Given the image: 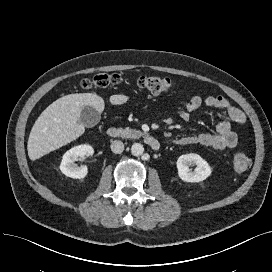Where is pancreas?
Here are the masks:
<instances>
[{"label": "pancreas", "mask_w": 272, "mask_h": 272, "mask_svg": "<svg viewBox=\"0 0 272 272\" xmlns=\"http://www.w3.org/2000/svg\"><path fill=\"white\" fill-rule=\"evenodd\" d=\"M121 137L126 139H138L143 133L140 130L131 129L126 127L125 129H120Z\"/></svg>", "instance_id": "1"}]
</instances>
